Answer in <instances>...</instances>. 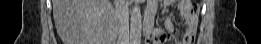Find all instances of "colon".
<instances>
[{"instance_id": "obj_1", "label": "colon", "mask_w": 261, "mask_h": 44, "mask_svg": "<svg viewBox=\"0 0 261 44\" xmlns=\"http://www.w3.org/2000/svg\"><path fill=\"white\" fill-rule=\"evenodd\" d=\"M180 5L181 6H191L192 5V2L191 1H181L180 2ZM196 7V6H195Z\"/></svg>"}]
</instances>
